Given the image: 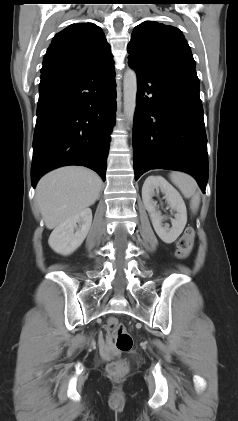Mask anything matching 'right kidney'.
<instances>
[{
    "mask_svg": "<svg viewBox=\"0 0 238 421\" xmlns=\"http://www.w3.org/2000/svg\"><path fill=\"white\" fill-rule=\"evenodd\" d=\"M92 223V211L86 208L59 224L51 233L49 246L61 255L73 253L86 238ZM79 224V227L78 225Z\"/></svg>",
    "mask_w": 238,
    "mask_h": 421,
    "instance_id": "ca27d5eb",
    "label": "right kidney"
}]
</instances>
